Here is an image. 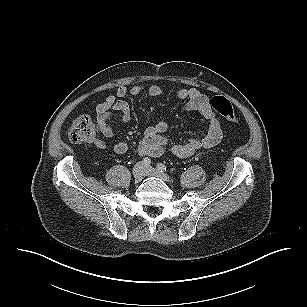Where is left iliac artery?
I'll list each match as a JSON object with an SVG mask.
<instances>
[{
  "label": "left iliac artery",
  "mask_w": 307,
  "mask_h": 307,
  "mask_svg": "<svg viewBox=\"0 0 307 307\" xmlns=\"http://www.w3.org/2000/svg\"><path fill=\"white\" fill-rule=\"evenodd\" d=\"M157 169L160 171V172H165L167 170V167L163 164V163H158L157 164Z\"/></svg>",
  "instance_id": "left-iliac-artery-1"
}]
</instances>
